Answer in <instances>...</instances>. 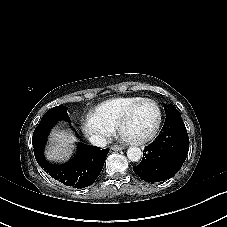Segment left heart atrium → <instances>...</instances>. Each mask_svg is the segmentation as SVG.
<instances>
[{
  "label": "left heart atrium",
  "mask_w": 227,
  "mask_h": 227,
  "mask_svg": "<svg viewBox=\"0 0 227 227\" xmlns=\"http://www.w3.org/2000/svg\"><path fill=\"white\" fill-rule=\"evenodd\" d=\"M124 139H127V136H123Z\"/></svg>",
  "instance_id": "left-heart-atrium-1"
}]
</instances>
